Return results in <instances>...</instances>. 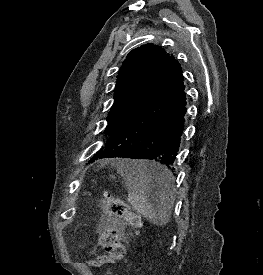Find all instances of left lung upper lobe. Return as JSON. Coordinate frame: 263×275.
Masks as SVG:
<instances>
[{"instance_id":"obj_1","label":"left lung upper lobe","mask_w":263,"mask_h":275,"mask_svg":"<svg viewBox=\"0 0 263 275\" xmlns=\"http://www.w3.org/2000/svg\"><path fill=\"white\" fill-rule=\"evenodd\" d=\"M174 60L161 46L151 43L128 53L117 75L114 103L104 131L106 135H113L127 121Z\"/></svg>"}]
</instances>
